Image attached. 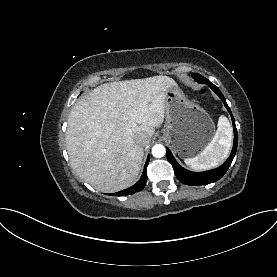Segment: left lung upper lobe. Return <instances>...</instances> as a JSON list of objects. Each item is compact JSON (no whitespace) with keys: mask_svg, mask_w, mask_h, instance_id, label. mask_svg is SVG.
<instances>
[{"mask_svg":"<svg viewBox=\"0 0 277 277\" xmlns=\"http://www.w3.org/2000/svg\"><path fill=\"white\" fill-rule=\"evenodd\" d=\"M193 78H194L195 80H197V79H205V77L201 76L200 74H194V75H193Z\"/></svg>","mask_w":277,"mask_h":277,"instance_id":"1","label":"left lung upper lobe"}]
</instances>
